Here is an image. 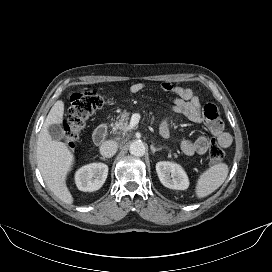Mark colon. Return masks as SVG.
Masks as SVG:
<instances>
[{
	"label": "colon",
	"mask_w": 272,
	"mask_h": 272,
	"mask_svg": "<svg viewBox=\"0 0 272 272\" xmlns=\"http://www.w3.org/2000/svg\"><path fill=\"white\" fill-rule=\"evenodd\" d=\"M105 102V96L96 91L75 93L71 96V107L63 124V140L69 148L74 147L87 120L95 111L102 108ZM208 156L213 164H220L224 160V151L214 140L210 145Z\"/></svg>",
	"instance_id": "1"
}]
</instances>
